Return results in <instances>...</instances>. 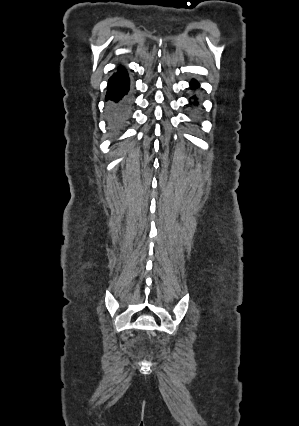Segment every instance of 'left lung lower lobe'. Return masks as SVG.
Returning a JSON list of instances; mask_svg holds the SVG:
<instances>
[{
  "label": "left lung lower lobe",
  "mask_w": 299,
  "mask_h": 426,
  "mask_svg": "<svg viewBox=\"0 0 299 426\" xmlns=\"http://www.w3.org/2000/svg\"><path fill=\"white\" fill-rule=\"evenodd\" d=\"M190 86H191V89L195 90L199 87V83L196 80H192L191 83H190ZM193 98H195V96L192 97V99ZM194 104H196V100H195Z\"/></svg>",
  "instance_id": "obj_1"
}]
</instances>
